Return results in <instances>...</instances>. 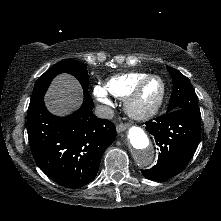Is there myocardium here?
Wrapping results in <instances>:
<instances>
[{
	"mask_svg": "<svg viewBox=\"0 0 221 221\" xmlns=\"http://www.w3.org/2000/svg\"><path fill=\"white\" fill-rule=\"evenodd\" d=\"M152 79H157L161 83V93L157 101L148 108H141L138 104L140 95L145 85ZM166 95L165 81L158 75H148L140 80L129 95L125 98V110L127 114L136 120H146L155 116L163 105Z\"/></svg>",
	"mask_w": 221,
	"mask_h": 221,
	"instance_id": "1",
	"label": "myocardium"
}]
</instances>
